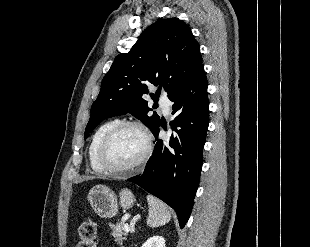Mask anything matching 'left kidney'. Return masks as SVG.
Wrapping results in <instances>:
<instances>
[{"instance_id":"obj_1","label":"left kidney","mask_w":310,"mask_h":247,"mask_svg":"<svg viewBox=\"0 0 310 247\" xmlns=\"http://www.w3.org/2000/svg\"><path fill=\"white\" fill-rule=\"evenodd\" d=\"M142 247H165V239L162 236H153Z\"/></svg>"}]
</instances>
